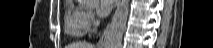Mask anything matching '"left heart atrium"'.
Masks as SVG:
<instances>
[{"label": "left heart atrium", "instance_id": "obj_1", "mask_svg": "<svg viewBox=\"0 0 213 48\" xmlns=\"http://www.w3.org/2000/svg\"><path fill=\"white\" fill-rule=\"evenodd\" d=\"M113 0H100L97 2V14L101 17L109 14L113 7Z\"/></svg>", "mask_w": 213, "mask_h": 48}]
</instances>
